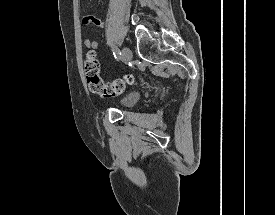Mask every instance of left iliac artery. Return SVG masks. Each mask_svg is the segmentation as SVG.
I'll list each match as a JSON object with an SVG mask.
<instances>
[{"mask_svg":"<svg viewBox=\"0 0 275 215\" xmlns=\"http://www.w3.org/2000/svg\"><path fill=\"white\" fill-rule=\"evenodd\" d=\"M113 54L116 59L121 56V52L116 47H113Z\"/></svg>","mask_w":275,"mask_h":215,"instance_id":"1","label":"left iliac artery"}]
</instances>
